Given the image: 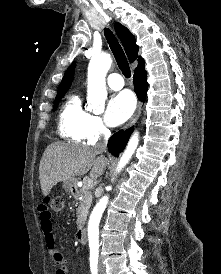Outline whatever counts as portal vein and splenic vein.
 Masks as SVG:
<instances>
[{"label":"portal vein and splenic vein","mask_w":221,"mask_h":274,"mask_svg":"<svg viewBox=\"0 0 221 274\" xmlns=\"http://www.w3.org/2000/svg\"><path fill=\"white\" fill-rule=\"evenodd\" d=\"M83 184H84L86 187L90 188V187L93 186L94 183H93V180H92V179L86 178V179L83 180Z\"/></svg>","instance_id":"1"}]
</instances>
